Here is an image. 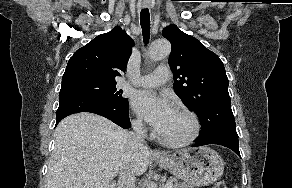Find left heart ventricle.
I'll return each instance as SVG.
<instances>
[{"label": "left heart ventricle", "mask_w": 292, "mask_h": 188, "mask_svg": "<svg viewBox=\"0 0 292 188\" xmlns=\"http://www.w3.org/2000/svg\"><path fill=\"white\" fill-rule=\"evenodd\" d=\"M192 131L190 119L175 110L160 134L169 139H181L188 136Z\"/></svg>", "instance_id": "1"}]
</instances>
